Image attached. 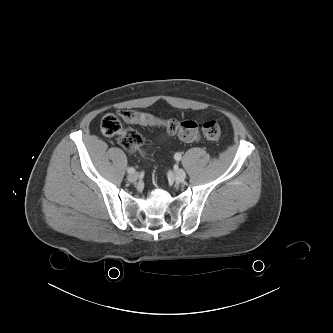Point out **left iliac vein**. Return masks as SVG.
Here are the masks:
<instances>
[{
  "label": "left iliac vein",
  "instance_id": "4c4485c4",
  "mask_svg": "<svg viewBox=\"0 0 333 333\" xmlns=\"http://www.w3.org/2000/svg\"><path fill=\"white\" fill-rule=\"evenodd\" d=\"M174 178L176 180V182H183L186 178V173L183 169H177L174 172Z\"/></svg>",
  "mask_w": 333,
  "mask_h": 333
}]
</instances>
